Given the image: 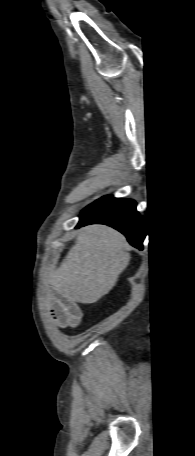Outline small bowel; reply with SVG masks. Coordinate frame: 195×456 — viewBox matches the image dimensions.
<instances>
[{
    "label": "small bowel",
    "instance_id": "small-bowel-1",
    "mask_svg": "<svg viewBox=\"0 0 195 456\" xmlns=\"http://www.w3.org/2000/svg\"><path fill=\"white\" fill-rule=\"evenodd\" d=\"M49 309L54 323L61 327L76 326L81 319L78 305L60 295L54 296Z\"/></svg>",
    "mask_w": 195,
    "mask_h": 456
}]
</instances>
